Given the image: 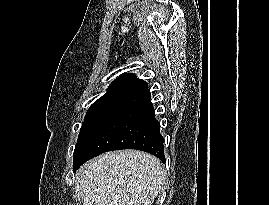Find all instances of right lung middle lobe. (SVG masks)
I'll return each mask as SVG.
<instances>
[{
    "instance_id": "obj_1",
    "label": "right lung middle lobe",
    "mask_w": 269,
    "mask_h": 205,
    "mask_svg": "<svg viewBox=\"0 0 269 205\" xmlns=\"http://www.w3.org/2000/svg\"><path fill=\"white\" fill-rule=\"evenodd\" d=\"M125 109L126 108L122 106H92L89 108L75 146L73 158L74 165L77 162L82 149L108 122Z\"/></svg>"
}]
</instances>
